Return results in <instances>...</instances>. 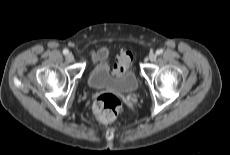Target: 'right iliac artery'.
<instances>
[{
  "mask_svg": "<svg viewBox=\"0 0 230 155\" xmlns=\"http://www.w3.org/2000/svg\"><path fill=\"white\" fill-rule=\"evenodd\" d=\"M68 53H69L68 49H64V50H63V54H64V55H67Z\"/></svg>",
  "mask_w": 230,
  "mask_h": 155,
  "instance_id": "1",
  "label": "right iliac artery"
}]
</instances>
